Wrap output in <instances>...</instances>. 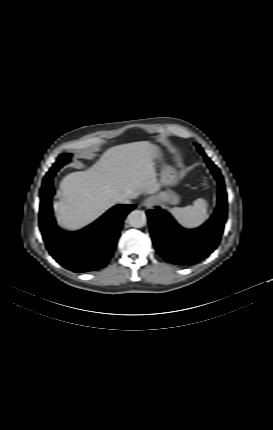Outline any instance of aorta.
I'll return each instance as SVG.
<instances>
[{"label": "aorta", "mask_w": 273, "mask_h": 430, "mask_svg": "<svg viewBox=\"0 0 273 430\" xmlns=\"http://www.w3.org/2000/svg\"><path fill=\"white\" fill-rule=\"evenodd\" d=\"M127 222L130 226L141 228L147 223V216L143 211L133 210L127 217Z\"/></svg>", "instance_id": "762f6f07"}]
</instances>
